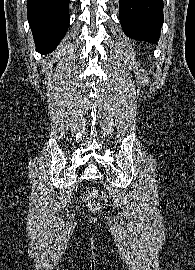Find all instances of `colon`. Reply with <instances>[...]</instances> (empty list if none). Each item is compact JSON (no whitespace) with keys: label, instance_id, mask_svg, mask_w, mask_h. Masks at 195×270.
Wrapping results in <instances>:
<instances>
[{"label":"colon","instance_id":"obj_1","mask_svg":"<svg viewBox=\"0 0 195 270\" xmlns=\"http://www.w3.org/2000/svg\"><path fill=\"white\" fill-rule=\"evenodd\" d=\"M94 194L103 200L106 199V195L104 193H94ZM80 200L86 201L88 203V208L92 213H97L101 209L100 203L91 200V195L89 193L82 194L80 196Z\"/></svg>","mask_w":195,"mask_h":270}]
</instances>
